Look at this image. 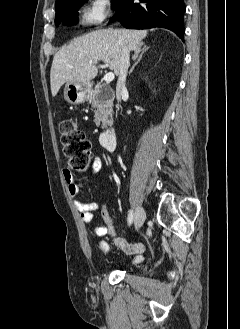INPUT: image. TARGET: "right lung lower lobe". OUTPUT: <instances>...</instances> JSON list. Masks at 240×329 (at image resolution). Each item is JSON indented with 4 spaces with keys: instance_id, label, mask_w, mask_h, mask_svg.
<instances>
[{
    "instance_id": "right-lung-lower-lobe-1",
    "label": "right lung lower lobe",
    "mask_w": 240,
    "mask_h": 329,
    "mask_svg": "<svg viewBox=\"0 0 240 329\" xmlns=\"http://www.w3.org/2000/svg\"><path fill=\"white\" fill-rule=\"evenodd\" d=\"M123 0L111 19H116L126 28L148 29L164 27L183 40L184 0Z\"/></svg>"
}]
</instances>
